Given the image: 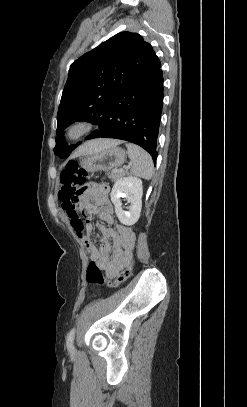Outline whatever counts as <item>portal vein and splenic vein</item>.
Returning a JSON list of instances; mask_svg holds the SVG:
<instances>
[{"mask_svg":"<svg viewBox=\"0 0 247 407\" xmlns=\"http://www.w3.org/2000/svg\"><path fill=\"white\" fill-rule=\"evenodd\" d=\"M129 167H130V166H126V167H124V168L128 169ZM115 171H117V170H115ZM120 171H123V170L121 169Z\"/></svg>","mask_w":247,"mask_h":407,"instance_id":"portal-vein-and-splenic-vein-1","label":"portal vein and splenic vein"}]
</instances>
